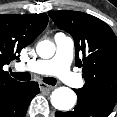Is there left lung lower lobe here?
<instances>
[{"label": "left lung lower lobe", "mask_w": 117, "mask_h": 117, "mask_svg": "<svg viewBox=\"0 0 117 117\" xmlns=\"http://www.w3.org/2000/svg\"><path fill=\"white\" fill-rule=\"evenodd\" d=\"M74 91L78 97L74 110L69 112H56V117H108L115 105L113 101L85 96L77 92L76 89Z\"/></svg>", "instance_id": "left-lung-lower-lobe-1"}]
</instances>
